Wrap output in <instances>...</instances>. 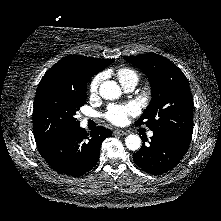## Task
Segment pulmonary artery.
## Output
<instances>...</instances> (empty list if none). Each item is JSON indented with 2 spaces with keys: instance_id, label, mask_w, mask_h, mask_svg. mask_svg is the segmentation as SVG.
<instances>
[{
  "instance_id": "obj_1",
  "label": "pulmonary artery",
  "mask_w": 221,
  "mask_h": 221,
  "mask_svg": "<svg viewBox=\"0 0 221 221\" xmlns=\"http://www.w3.org/2000/svg\"><path fill=\"white\" fill-rule=\"evenodd\" d=\"M136 84H137L136 82L131 81V82H127L125 84H122V87L126 92H131L134 90ZM84 122H86V119H84ZM148 136L152 137L153 132L152 131L148 132Z\"/></svg>"
}]
</instances>
